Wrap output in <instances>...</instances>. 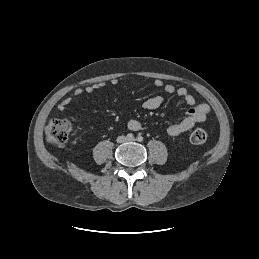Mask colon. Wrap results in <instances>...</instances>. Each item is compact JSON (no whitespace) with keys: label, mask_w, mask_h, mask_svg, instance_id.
Instances as JSON below:
<instances>
[{"label":"colon","mask_w":259,"mask_h":259,"mask_svg":"<svg viewBox=\"0 0 259 259\" xmlns=\"http://www.w3.org/2000/svg\"><path fill=\"white\" fill-rule=\"evenodd\" d=\"M72 129L71 119H52L45 128L46 139L51 144L62 145L67 142ZM208 134L205 129L197 128L190 135L193 144L206 142Z\"/></svg>","instance_id":"obj_1"}]
</instances>
